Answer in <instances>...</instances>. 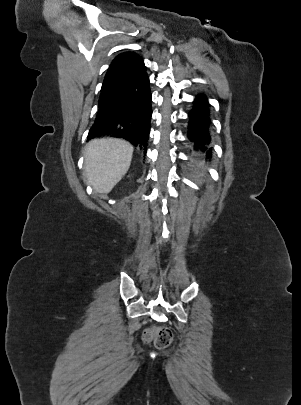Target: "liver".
Instances as JSON below:
<instances>
[{
	"mask_svg": "<svg viewBox=\"0 0 301 405\" xmlns=\"http://www.w3.org/2000/svg\"><path fill=\"white\" fill-rule=\"evenodd\" d=\"M133 146L121 139H94L85 148L87 183L98 193H109L127 173Z\"/></svg>",
	"mask_w": 301,
	"mask_h": 405,
	"instance_id": "1",
	"label": "liver"
}]
</instances>
